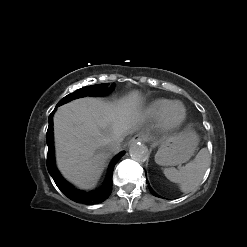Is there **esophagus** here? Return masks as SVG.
Masks as SVG:
<instances>
[{
	"label": "esophagus",
	"mask_w": 247,
	"mask_h": 247,
	"mask_svg": "<svg viewBox=\"0 0 247 247\" xmlns=\"http://www.w3.org/2000/svg\"><path fill=\"white\" fill-rule=\"evenodd\" d=\"M148 136L146 135H143V134H138V135H135L131 140H130V143L131 144H134V143H137V142H146L148 141Z\"/></svg>",
	"instance_id": "obj_1"
}]
</instances>
